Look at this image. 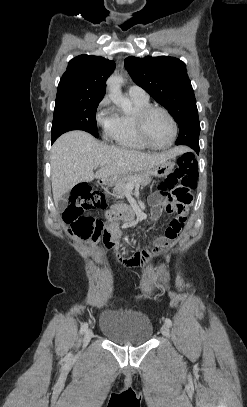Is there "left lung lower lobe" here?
<instances>
[{"mask_svg": "<svg viewBox=\"0 0 247 407\" xmlns=\"http://www.w3.org/2000/svg\"><path fill=\"white\" fill-rule=\"evenodd\" d=\"M187 146L191 147L197 154H199V143H190Z\"/></svg>", "mask_w": 247, "mask_h": 407, "instance_id": "obj_1", "label": "left lung lower lobe"}]
</instances>
